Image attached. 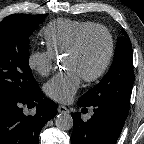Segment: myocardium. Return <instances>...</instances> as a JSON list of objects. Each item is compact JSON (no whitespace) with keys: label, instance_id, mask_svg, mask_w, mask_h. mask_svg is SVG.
<instances>
[{"label":"myocardium","instance_id":"1","mask_svg":"<svg viewBox=\"0 0 144 144\" xmlns=\"http://www.w3.org/2000/svg\"><path fill=\"white\" fill-rule=\"evenodd\" d=\"M93 31H100L105 34L107 38V42H108V51H107V55L101 67L94 74L83 78L86 82H89V83L100 79L106 73L113 59L114 52H115V43H114L113 35L110 32V30L106 26L101 25V24H95V25L89 26L79 32V34L76 36V38L72 42L71 46L66 51V55H71L77 52L79 48L81 47L86 36Z\"/></svg>","mask_w":144,"mask_h":144}]
</instances>
